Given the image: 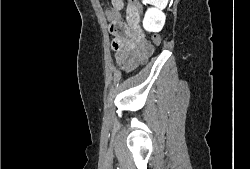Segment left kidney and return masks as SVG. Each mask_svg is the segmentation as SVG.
Here are the masks:
<instances>
[{
    "label": "left kidney",
    "mask_w": 250,
    "mask_h": 169,
    "mask_svg": "<svg viewBox=\"0 0 250 169\" xmlns=\"http://www.w3.org/2000/svg\"><path fill=\"white\" fill-rule=\"evenodd\" d=\"M166 14L159 8H148L143 18V26L145 30L150 32H158L165 24Z\"/></svg>",
    "instance_id": "1"
}]
</instances>
